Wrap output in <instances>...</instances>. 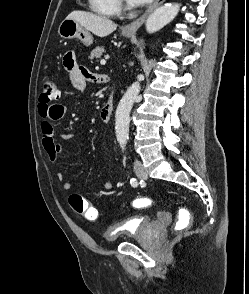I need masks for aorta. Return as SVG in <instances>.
<instances>
[{
	"label": "aorta",
	"mask_w": 249,
	"mask_h": 294,
	"mask_svg": "<svg viewBox=\"0 0 249 294\" xmlns=\"http://www.w3.org/2000/svg\"><path fill=\"white\" fill-rule=\"evenodd\" d=\"M180 5L165 4L157 8L146 21V31L148 33H154L169 22H171L179 12ZM142 76L139 75L138 79ZM140 82H134L125 92L122 99L120 100L115 114V130L116 138L121 147H124L128 140L129 135V123H130V112L133 104L140 92Z\"/></svg>",
	"instance_id": "aorta-1"
}]
</instances>
